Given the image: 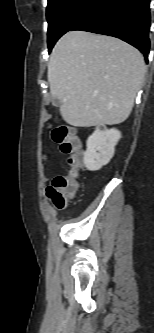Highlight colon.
I'll return each instance as SVG.
<instances>
[{"label": "colon", "mask_w": 154, "mask_h": 333, "mask_svg": "<svg viewBox=\"0 0 154 333\" xmlns=\"http://www.w3.org/2000/svg\"><path fill=\"white\" fill-rule=\"evenodd\" d=\"M51 137L62 153L69 155V169L63 175L56 176L46 189V196L58 209L65 207L74 197L79 187V175L82 169L81 142L75 130L60 124L52 128Z\"/></svg>", "instance_id": "1"}]
</instances>
